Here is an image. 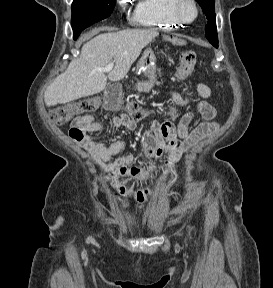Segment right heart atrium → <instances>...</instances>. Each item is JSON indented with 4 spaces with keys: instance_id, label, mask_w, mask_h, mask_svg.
<instances>
[{
    "instance_id": "1",
    "label": "right heart atrium",
    "mask_w": 273,
    "mask_h": 288,
    "mask_svg": "<svg viewBox=\"0 0 273 288\" xmlns=\"http://www.w3.org/2000/svg\"><path fill=\"white\" fill-rule=\"evenodd\" d=\"M131 0H117L119 6L125 10L128 6V4L130 3Z\"/></svg>"
}]
</instances>
